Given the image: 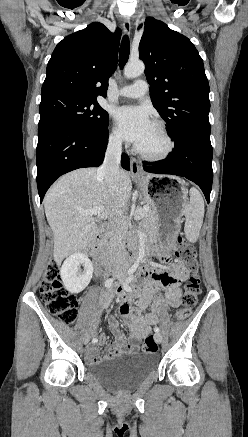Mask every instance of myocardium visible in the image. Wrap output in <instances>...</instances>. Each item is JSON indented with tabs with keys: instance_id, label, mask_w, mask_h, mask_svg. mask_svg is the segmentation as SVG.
Segmentation results:
<instances>
[{
	"instance_id": "obj_1",
	"label": "myocardium",
	"mask_w": 248,
	"mask_h": 437,
	"mask_svg": "<svg viewBox=\"0 0 248 437\" xmlns=\"http://www.w3.org/2000/svg\"><path fill=\"white\" fill-rule=\"evenodd\" d=\"M153 125L159 129L161 132L165 142H166V148L159 154H149L144 151H142L137 146L134 147V151L136 154H138L142 159L149 161V162H160L165 159H167L174 151L175 143L172 139L166 125L159 120H155L153 122Z\"/></svg>"
}]
</instances>
